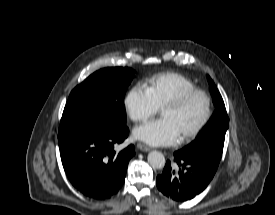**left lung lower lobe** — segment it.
Masks as SVG:
<instances>
[{"mask_svg":"<svg viewBox=\"0 0 275 215\" xmlns=\"http://www.w3.org/2000/svg\"><path fill=\"white\" fill-rule=\"evenodd\" d=\"M174 163L168 160L162 174L156 178L159 191L174 201H187L204 191L217 167L215 164L187 156L179 151L174 153Z\"/></svg>","mask_w":275,"mask_h":215,"instance_id":"obj_1","label":"left lung lower lobe"}]
</instances>
